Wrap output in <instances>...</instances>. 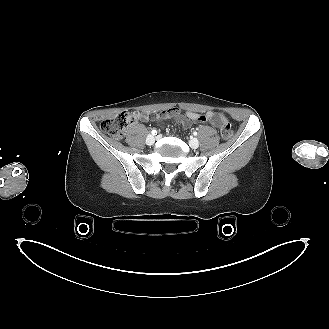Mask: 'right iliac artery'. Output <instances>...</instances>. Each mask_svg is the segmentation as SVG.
<instances>
[{
    "label": "right iliac artery",
    "instance_id": "obj_1",
    "mask_svg": "<svg viewBox=\"0 0 329 329\" xmlns=\"http://www.w3.org/2000/svg\"><path fill=\"white\" fill-rule=\"evenodd\" d=\"M151 134L155 136V135H157V131H156L155 129H153V130L151 131Z\"/></svg>",
    "mask_w": 329,
    "mask_h": 329
}]
</instances>
